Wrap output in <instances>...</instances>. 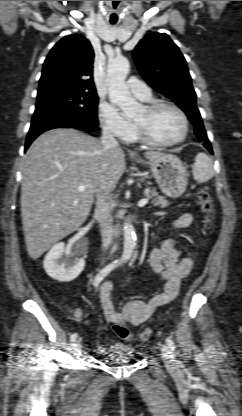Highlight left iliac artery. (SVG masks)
I'll use <instances>...</instances> for the list:
<instances>
[{
    "instance_id": "44dca946",
    "label": "left iliac artery",
    "mask_w": 242,
    "mask_h": 416,
    "mask_svg": "<svg viewBox=\"0 0 242 416\" xmlns=\"http://www.w3.org/2000/svg\"><path fill=\"white\" fill-rule=\"evenodd\" d=\"M166 343H167V345H168V347L172 350V351H175V344H174V342H173V340L172 339H170V338H166Z\"/></svg>"
}]
</instances>
